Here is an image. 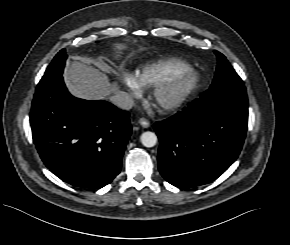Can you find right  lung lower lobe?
Wrapping results in <instances>:
<instances>
[{
  "mask_svg": "<svg viewBox=\"0 0 290 245\" xmlns=\"http://www.w3.org/2000/svg\"><path fill=\"white\" fill-rule=\"evenodd\" d=\"M30 123L41 159L61 180L98 189L119 174L132 131L127 111L73 97L61 76L38 84Z\"/></svg>",
  "mask_w": 290,
  "mask_h": 245,
  "instance_id": "98d812e1",
  "label": "right lung lower lobe"
}]
</instances>
